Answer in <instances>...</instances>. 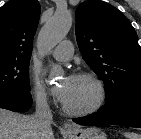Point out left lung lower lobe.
Wrapping results in <instances>:
<instances>
[{"instance_id":"0a47b994","label":"left lung lower lobe","mask_w":141,"mask_h":139,"mask_svg":"<svg viewBox=\"0 0 141 139\" xmlns=\"http://www.w3.org/2000/svg\"><path fill=\"white\" fill-rule=\"evenodd\" d=\"M72 120L80 125L116 124L141 128V91L127 93L90 116Z\"/></svg>"}]
</instances>
